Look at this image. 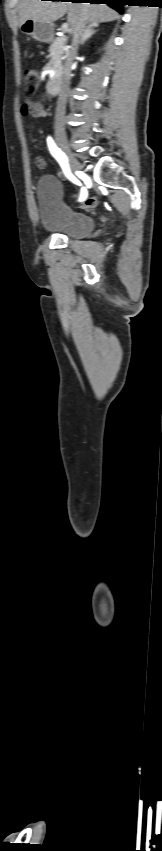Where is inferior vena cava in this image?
I'll return each instance as SVG.
<instances>
[{
  "label": "inferior vena cava",
  "mask_w": 162,
  "mask_h": 851,
  "mask_svg": "<svg viewBox=\"0 0 162 851\" xmlns=\"http://www.w3.org/2000/svg\"><path fill=\"white\" fill-rule=\"evenodd\" d=\"M85 28H86V20H85L84 17H81L79 19L78 23L76 24V26L72 30L73 39H72L71 52H70L69 58L67 60V63L64 67L63 79H62V82H61V87H60V91H59V94H58L57 106H56V111H55V130L56 131L64 132V130H65L64 129V116H65V110H66L69 82H70V78H71V67H72V64H73L72 61H73V59H74V57L77 53V49H78L79 44L82 43Z\"/></svg>",
  "instance_id": "602c4592"
}]
</instances>
